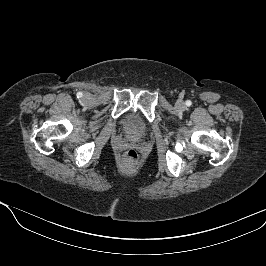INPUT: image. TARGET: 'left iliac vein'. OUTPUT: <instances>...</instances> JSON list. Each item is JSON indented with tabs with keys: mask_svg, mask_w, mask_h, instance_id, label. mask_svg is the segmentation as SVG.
<instances>
[{
	"mask_svg": "<svg viewBox=\"0 0 266 266\" xmlns=\"http://www.w3.org/2000/svg\"><path fill=\"white\" fill-rule=\"evenodd\" d=\"M176 108L178 110H183L185 108V103L183 101H181V100L177 101Z\"/></svg>",
	"mask_w": 266,
	"mask_h": 266,
	"instance_id": "1",
	"label": "left iliac vein"
}]
</instances>
